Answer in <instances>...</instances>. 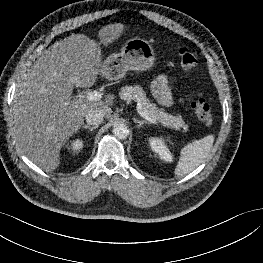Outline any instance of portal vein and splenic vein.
<instances>
[{
  "label": "portal vein and splenic vein",
  "mask_w": 263,
  "mask_h": 263,
  "mask_svg": "<svg viewBox=\"0 0 263 263\" xmlns=\"http://www.w3.org/2000/svg\"><path fill=\"white\" fill-rule=\"evenodd\" d=\"M102 95L103 94L100 91L94 90V91L88 92L85 97L86 99L90 101H98V100H101ZM137 112L138 114H140L141 117L145 118L146 120L154 124H157V121L153 119L151 116H149L146 112H143L140 107L137 108Z\"/></svg>",
  "instance_id": "portal-vein-and-splenic-vein-1"
}]
</instances>
